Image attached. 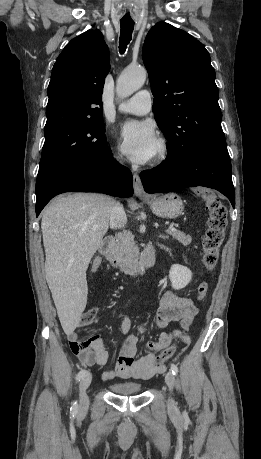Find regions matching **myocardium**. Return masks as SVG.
Wrapping results in <instances>:
<instances>
[{
  "label": "myocardium",
  "instance_id": "1",
  "mask_svg": "<svg viewBox=\"0 0 261 459\" xmlns=\"http://www.w3.org/2000/svg\"><path fill=\"white\" fill-rule=\"evenodd\" d=\"M169 153L168 143L165 139L159 138L157 140V152L151 159L152 165H157L166 160Z\"/></svg>",
  "mask_w": 261,
  "mask_h": 459
}]
</instances>
